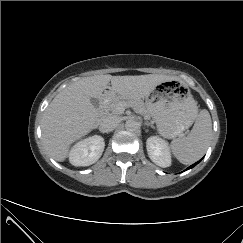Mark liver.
Instances as JSON below:
<instances>
[{"label":"liver","mask_w":243,"mask_h":243,"mask_svg":"<svg viewBox=\"0 0 243 243\" xmlns=\"http://www.w3.org/2000/svg\"><path fill=\"white\" fill-rule=\"evenodd\" d=\"M175 79L157 74L82 78L63 89L46 108L41 123L45 149L52 158L62 162L68 156L70 145L95 128L99 114L91 98L103 99L117 93L124 98L141 99L157 85Z\"/></svg>","instance_id":"6515ba94"}]
</instances>
